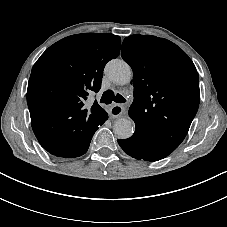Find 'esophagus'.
I'll use <instances>...</instances> for the list:
<instances>
[{"label": "esophagus", "mask_w": 227, "mask_h": 227, "mask_svg": "<svg viewBox=\"0 0 227 227\" xmlns=\"http://www.w3.org/2000/svg\"><path fill=\"white\" fill-rule=\"evenodd\" d=\"M124 107L122 105H113L110 110H109V114L111 117H119L120 115L123 114L124 112Z\"/></svg>", "instance_id": "1"}]
</instances>
